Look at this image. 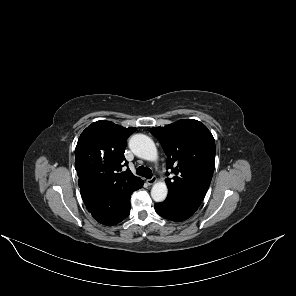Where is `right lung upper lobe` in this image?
Wrapping results in <instances>:
<instances>
[{
	"instance_id": "cb5924a9",
	"label": "right lung upper lobe",
	"mask_w": 296,
	"mask_h": 296,
	"mask_svg": "<svg viewBox=\"0 0 296 296\" xmlns=\"http://www.w3.org/2000/svg\"><path fill=\"white\" fill-rule=\"evenodd\" d=\"M136 128H124L109 121L92 123L80 135L75 148V169L79 183L88 181L90 187L98 190L128 188L140 182L129 168L119 173L122 166H128L124 157L127 138Z\"/></svg>"
}]
</instances>
